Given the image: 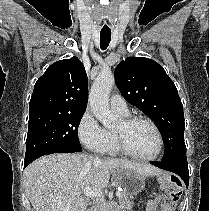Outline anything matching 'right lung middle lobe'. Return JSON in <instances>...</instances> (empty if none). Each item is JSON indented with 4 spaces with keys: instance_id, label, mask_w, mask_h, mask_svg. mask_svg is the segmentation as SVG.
Instances as JSON below:
<instances>
[{
    "instance_id": "obj_1",
    "label": "right lung middle lobe",
    "mask_w": 209,
    "mask_h": 211,
    "mask_svg": "<svg viewBox=\"0 0 209 211\" xmlns=\"http://www.w3.org/2000/svg\"><path fill=\"white\" fill-rule=\"evenodd\" d=\"M84 112L29 115L25 164L57 150L81 152L78 126Z\"/></svg>"
}]
</instances>
